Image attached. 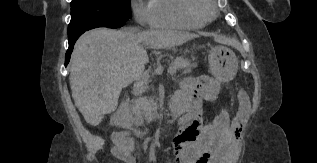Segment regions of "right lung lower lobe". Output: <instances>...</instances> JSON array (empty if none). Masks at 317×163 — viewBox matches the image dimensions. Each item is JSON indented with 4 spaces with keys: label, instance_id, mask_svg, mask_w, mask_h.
Wrapping results in <instances>:
<instances>
[{
    "label": "right lung lower lobe",
    "instance_id": "98d812e1",
    "mask_svg": "<svg viewBox=\"0 0 317 163\" xmlns=\"http://www.w3.org/2000/svg\"><path fill=\"white\" fill-rule=\"evenodd\" d=\"M123 24L122 23H101V24H98L90 29H93V28H97V27H108V28H119V27H122ZM88 29V30H90ZM86 31V30H85ZM85 31H82L72 37H69L68 39V42H69V48L67 50V53H66V59H65V66H67L69 60H70V55L72 53V50H73V46L76 42V40L79 38V36L81 34H83Z\"/></svg>",
    "mask_w": 317,
    "mask_h": 163
}]
</instances>
